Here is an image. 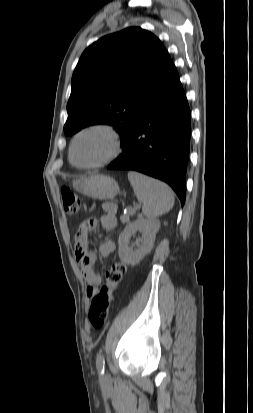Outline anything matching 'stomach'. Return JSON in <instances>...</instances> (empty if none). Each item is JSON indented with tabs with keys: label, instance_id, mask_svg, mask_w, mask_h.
<instances>
[{
	"label": "stomach",
	"instance_id": "0dacf381",
	"mask_svg": "<svg viewBox=\"0 0 253 413\" xmlns=\"http://www.w3.org/2000/svg\"><path fill=\"white\" fill-rule=\"evenodd\" d=\"M73 187L83 195L98 200L112 199L119 192V185L113 178L99 174L75 180Z\"/></svg>",
	"mask_w": 253,
	"mask_h": 413
}]
</instances>
